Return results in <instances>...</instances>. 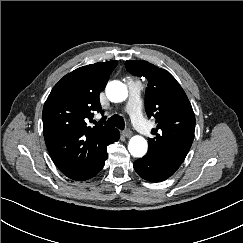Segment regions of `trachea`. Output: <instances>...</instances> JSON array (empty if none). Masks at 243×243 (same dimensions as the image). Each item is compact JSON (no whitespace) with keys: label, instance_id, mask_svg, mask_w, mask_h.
I'll use <instances>...</instances> for the list:
<instances>
[{"label":"trachea","instance_id":"trachea-1","mask_svg":"<svg viewBox=\"0 0 243 243\" xmlns=\"http://www.w3.org/2000/svg\"><path fill=\"white\" fill-rule=\"evenodd\" d=\"M104 125L117 127L122 130L125 128L123 118L118 115H113L112 117H110L107 121L104 122Z\"/></svg>","mask_w":243,"mask_h":243}]
</instances>
